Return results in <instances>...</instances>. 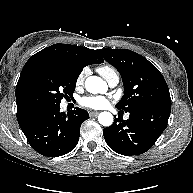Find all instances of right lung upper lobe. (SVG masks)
<instances>
[{
	"label": "right lung upper lobe",
	"instance_id": "1",
	"mask_svg": "<svg viewBox=\"0 0 193 193\" xmlns=\"http://www.w3.org/2000/svg\"><path fill=\"white\" fill-rule=\"evenodd\" d=\"M41 62L62 63L83 70V68L87 65L102 63L104 62V60L93 49L76 45L54 44L30 57L22 69L20 78L30 66ZM16 102L18 123H22L23 121L27 120L28 118L37 113L36 111L27 108L19 99L17 94Z\"/></svg>",
	"mask_w": 193,
	"mask_h": 193
}]
</instances>
